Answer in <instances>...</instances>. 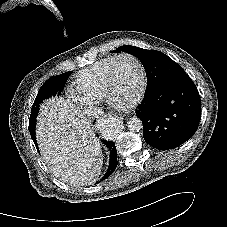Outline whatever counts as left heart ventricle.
<instances>
[{
	"mask_svg": "<svg viewBox=\"0 0 227 227\" xmlns=\"http://www.w3.org/2000/svg\"><path fill=\"white\" fill-rule=\"evenodd\" d=\"M141 84L140 70L130 58L118 62L114 72L113 98L117 103L131 102L139 92Z\"/></svg>",
	"mask_w": 227,
	"mask_h": 227,
	"instance_id": "obj_1",
	"label": "left heart ventricle"
}]
</instances>
